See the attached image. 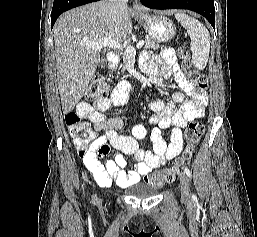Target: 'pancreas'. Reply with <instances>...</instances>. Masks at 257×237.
Here are the masks:
<instances>
[{"label": "pancreas", "instance_id": "cf45deb5", "mask_svg": "<svg viewBox=\"0 0 257 237\" xmlns=\"http://www.w3.org/2000/svg\"><path fill=\"white\" fill-rule=\"evenodd\" d=\"M158 47H159V44H157L155 41L151 39L145 40V46H144L145 49L156 50ZM122 58H123V65H126L129 59V55L126 53V51L123 53Z\"/></svg>", "mask_w": 257, "mask_h": 237}]
</instances>
